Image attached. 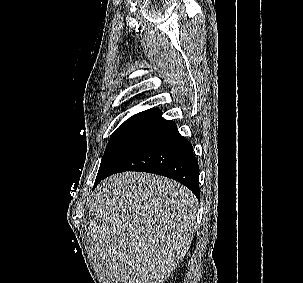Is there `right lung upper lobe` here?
Returning a JSON list of instances; mask_svg holds the SVG:
<instances>
[{
	"mask_svg": "<svg viewBox=\"0 0 303 283\" xmlns=\"http://www.w3.org/2000/svg\"><path fill=\"white\" fill-rule=\"evenodd\" d=\"M134 116H147L158 118L161 116V112L157 108L148 109L146 111L135 114Z\"/></svg>",
	"mask_w": 303,
	"mask_h": 283,
	"instance_id": "obj_1",
	"label": "right lung upper lobe"
}]
</instances>
